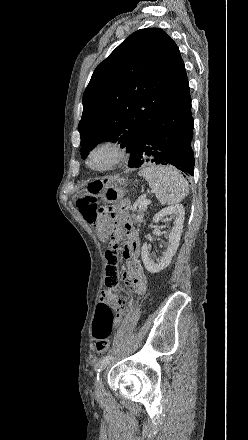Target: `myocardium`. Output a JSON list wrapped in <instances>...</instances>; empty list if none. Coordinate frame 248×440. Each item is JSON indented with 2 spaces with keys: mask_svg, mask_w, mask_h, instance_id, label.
<instances>
[{
  "mask_svg": "<svg viewBox=\"0 0 248 440\" xmlns=\"http://www.w3.org/2000/svg\"><path fill=\"white\" fill-rule=\"evenodd\" d=\"M98 153H106L108 160L100 165L92 163ZM127 158L126 148L116 140H102L95 143L87 152L85 163L87 167L97 173H105L119 168Z\"/></svg>",
  "mask_w": 248,
  "mask_h": 440,
  "instance_id": "f54148a6",
  "label": "myocardium"
}]
</instances>
